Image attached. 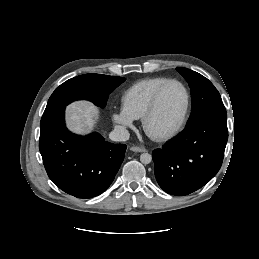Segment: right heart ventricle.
<instances>
[{
    "instance_id": "right-heart-ventricle-1",
    "label": "right heart ventricle",
    "mask_w": 259,
    "mask_h": 259,
    "mask_svg": "<svg viewBox=\"0 0 259 259\" xmlns=\"http://www.w3.org/2000/svg\"><path fill=\"white\" fill-rule=\"evenodd\" d=\"M167 77L156 76L139 80L130 85L121 95L122 108L134 119H140L145 114L155 90Z\"/></svg>"
}]
</instances>
